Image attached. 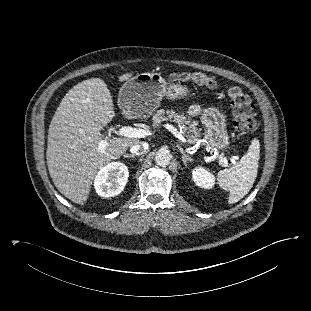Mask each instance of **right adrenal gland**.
I'll use <instances>...</instances> for the list:
<instances>
[{
  "mask_svg": "<svg viewBox=\"0 0 311 311\" xmlns=\"http://www.w3.org/2000/svg\"><path fill=\"white\" fill-rule=\"evenodd\" d=\"M125 158H135V155L133 154H124Z\"/></svg>",
  "mask_w": 311,
  "mask_h": 311,
  "instance_id": "obj_1",
  "label": "right adrenal gland"
}]
</instances>
